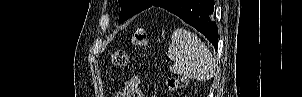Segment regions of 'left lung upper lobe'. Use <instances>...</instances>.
Returning a JSON list of instances; mask_svg holds the SVG:
<instances>
[{
	"label": "left lung upper lobe",
	"mask_w": 302,
	"mask_h": 97,
	"mask_svg": "<svg viewBox=\"0 0 302 97\" xmlns=\"http://www.w3.org/2000/svg\"><path fill=\"white\" fill-rule=\"evenodd\" d=\"M155 0H118L121 6L119 23L149 8Z\"/></svg>",
	"instance_id": "1"
}]
</instances>
